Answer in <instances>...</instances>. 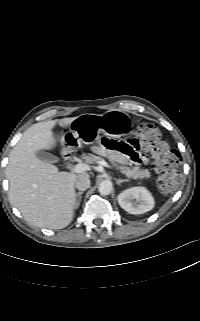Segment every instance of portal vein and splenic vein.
I'll return each instance as SVG.
<instances>
[{"label":"portal vein and splenic vein","instance_id":"portal-vein-and-splenic-vein-1","mask_svg":"<svg viewBox=\"0 0 200 321\" xmlns=\"http://www.w3.org/2000/svg\"><path fill=\"white\" fill-rule=\"evenodd\" d=\"M99 164H101L102 166H105L107 168H111V166L105 162V161H100ZM90 167L87 165V164H84V163H80V164H76L74 167H73V172L75 173H82L84 171H87L89 170Z\"/></svg>","mask_w":200,"mask_h":321}]
</instances>
